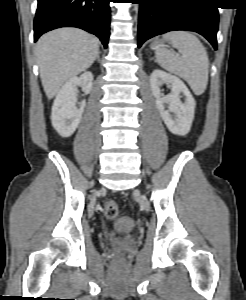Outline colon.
<instances>
[{
  "mask_svg": "<svg viewBox=\"0 0 246 300\" xmlns=\"http://www.w3.org/2000/svg\"><path fill=\"white\" fill-rule=\"evenodd\" d=\"M105 216L115 222L118 231L127 232L133 227V220L128 217H119V208L115 200H107L104 205Z\"/></svg>",
  "mask_w": 246,
  "mask_h": 300,
  "instance_id": "5ec220e1",
  "label": "colon"
}]
</instances>
